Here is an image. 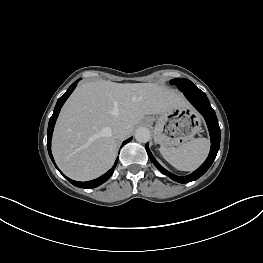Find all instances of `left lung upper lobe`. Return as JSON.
I'll use <instances>...</instances> for the list:
<instances>
[{
    "label": "left lung upper lobe",
    "mask_w": 263,
    "mask_h": 263,
    "mask_svg": "<svg viewBox=\"0 0 263 263\" xmlns=\"http://www.w3.org/2000/svg\"><path fill=\"white\" fill-rule=\"evenodd\" d=\"M170 83L176 85L181 91L198 89L190 80L185 78H175Z\"/></svg>",
    "instance_id": "5c2ea615"
}]
</instances>
